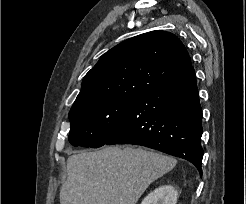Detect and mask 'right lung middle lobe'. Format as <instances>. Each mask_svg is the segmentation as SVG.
<instances>
[{"label": "right lung middle lobe", "mask_w": 246, "mask_h": 204, "mask_svg": "<svg viewBox=\"0 0 246 204\" xmlns=\"http://www.w3.org/2000/svg\"><path fill=\"white\" fill-rule=\"evenodd\" d=\"M138 96H106L74 104L69 113V142L92 148L105 145L120 129Z\"/></svg>", "instance_id": "right-lung-middle-lobe-1"}]
</instances>
